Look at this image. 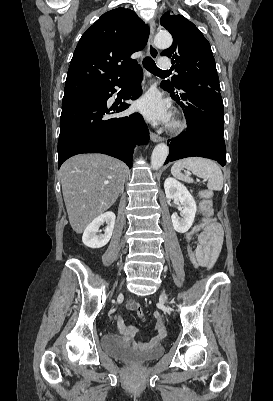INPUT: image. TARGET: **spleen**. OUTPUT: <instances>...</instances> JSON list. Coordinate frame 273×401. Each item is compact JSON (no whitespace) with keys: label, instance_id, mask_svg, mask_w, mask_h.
Instances as JSON below:
<instances>
[{"label":"spleen","instance_id":"obj_1","mask_svg":"<svg viewBox=\"0 0 273 401\" xmlns=\"http://www.w3.org/2000/svg\"><path fill=\"white\" fill-rule=\"evenodd\" d=\"M182 168L192 170L193 174L200 178H207V186L209 190H221L223 186V174L220 166L209 160V158H200V156H189V158H181L174 162L171 172L176 178L185 180V182H193V178L188 174H182Z\"/></svg>","mask_w":273,"mask_h":401}]
</instances>
